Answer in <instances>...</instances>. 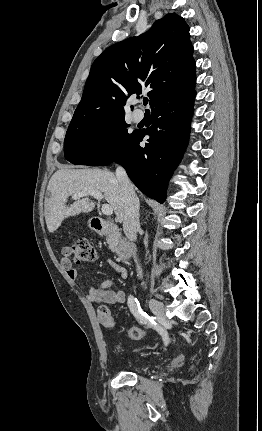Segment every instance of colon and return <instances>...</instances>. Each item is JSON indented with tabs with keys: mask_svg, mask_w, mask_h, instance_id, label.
<instances>
[{
	"mask_svg": "<svg viewBox=\"0 0 262 431\" xmlns=\"http://www.w3.org/2000/svg\"><path fill=\"white\" fill-rule=\"evenodd\" d=\"M62 254L66 258H71L76 263H86L93 261L96 255V248L85 239L76 240L66 244L62 248ZM101 324L106 328L114 327V320L107 310L99 312ZM128 337L132 340H141L145 336V331L140 327H130L128 329Z\"/></svg>",
	"mask_w": 262,
	"mask_h": 431,
	"instance_id": "5ec220e1",
	"label": "colon"
}]
</instances>
